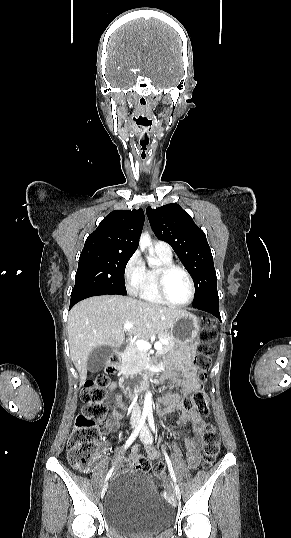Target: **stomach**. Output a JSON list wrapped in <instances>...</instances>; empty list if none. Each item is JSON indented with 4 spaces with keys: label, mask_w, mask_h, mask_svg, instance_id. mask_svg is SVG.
I'll return each mask as SVG.
<instances>
[{
    "label": "stomach",
    "mask_w": 291,
    "mask_h": 538,
    "mask_svg": "<svg viewBox=\"0 0 291 538\" xmlns=\"http://www.w3.org/2000/svg\"><path fill=\"white\" fill-rule=\"evenodd\" d=\"M169 332L177 344L191 343L199 333L198 319L193 314L186 312L176 318Z\"/></svg>",
    "instance_id": "0dacf381"
}]
</instances>
